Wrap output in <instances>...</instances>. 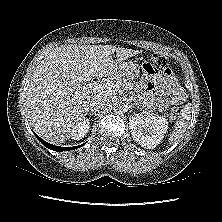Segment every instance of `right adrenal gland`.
<instances>
[{"instance_id":"obj_1","label":"right adrenal gland","mask_w":222,"mask_h":222,"mask_svg":"<svg viewBox=\"0 0 222 222\" xmlns=\"http://www.w3.org/2000/svg\"><path fill=\"white\" fill-rule=\"evenodd\" d=\"M89 115H94V113H89Z\"/></svg>"}]
</instances>
